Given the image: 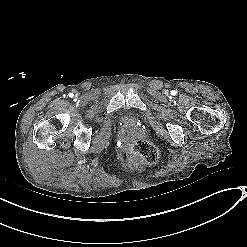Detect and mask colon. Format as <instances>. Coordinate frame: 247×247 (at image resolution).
Returning <instances> with one entry per match:
<instances>
[{
	"instance_id": "1",
	"label": "colon",
	"mask_w": 247,
	"mask_h": 247,
	"mask_svg": "<svg viewBox=\"0 0 247 247\" xmlns=\"http://www.w3.org/2000/svg\"><path fill=\"white\" fill-rule=\"evenodd\" d=\"M158 159L159 152L155 145L145 140L137 142L134 151L125 153L123 157L124 164L127 167L154 165L158 162Z\"/></svg>"
}]
</instances>
